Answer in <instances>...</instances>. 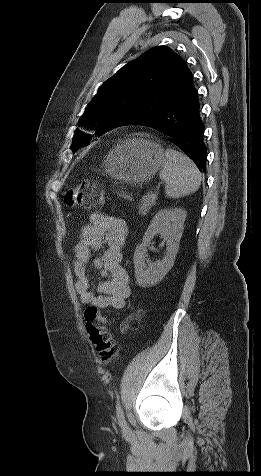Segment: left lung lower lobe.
Here are the masks:
<instances>
[{
	"label": "left lung lower lobe",
	"instance_id": "0a47b994",
	"mask_svg": "<svg viewBox=\"0 0 261 476\" xmlns=\"http://www.w3.org/2000/svg\"><path fill=\"white\" fill-rule=\"evenodd\" d=\"M141 124L164 134L171 144L183 150L205 172L204 125L194 85L166 110Z\"/></svg>",
	"mask_w": 261,
	"mask_h": 476
}]
</instances>
